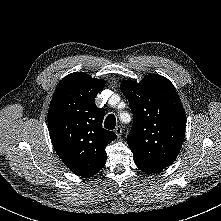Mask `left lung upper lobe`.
<instances>
[{"label": "left lung upper lobe", "instance_id": "left-lung-upper-lobe-1", "mask_svg": "<svg viewBox=\"0 0 221 221\" xmlns=\"http://www.w3.org/2000/svg\"><path fill=\"white\" fill-rule=\"evenodd\" d=\"M121 91L133 112L127 143L139 168L164 169L177 158L183 144L186 115L173 84L149 74L138 84L121 83Z\"/></svg>", "mask_w": 221, "mask_h": 221}]
</instances>
